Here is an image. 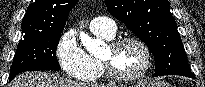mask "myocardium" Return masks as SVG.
Instances as JSON below:
<instances>
[{"label": "myocardium", "mask_w": 205, "mask_h": 87, "mask_svg": "<svg viewBox=\"0 0 205 87\" xmlns=\"http://www.w3.org/2000/svg\"><path fill=\"white\" fill-rule=\"evenodd\" d=\"M127 43L137 44L145 55V63L142 69L133 75H123L116 71L110 57H100L99 61L104 69L105 75L116 82L131 83L142 79L150 70L152 65V54L148 45L140 38L134 36L121 37L113 39L108 43V49L111 54L115 53L121 46Z\"/></svg>", "instance_id": "1"}]
</instances>
